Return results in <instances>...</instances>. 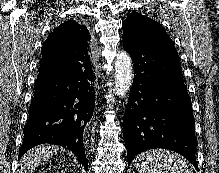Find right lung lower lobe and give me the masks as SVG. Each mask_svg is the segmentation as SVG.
Masks as SVG:
<instances>
[{
	"mask_svg": "<svg viewBox=\"0 0 219 173\" xmlns=\"http://www.w3.org/2000/svg\"><path fill=\"white\" fill-rule=\"evenodd\" d=\"M93 69L79 54L64 63L41 60L19 158L38 144H56L71 150L88 169L84 141L94 111Z\"/></svg>",
	"mask_w": 219,
	"mask_h": 173,
	"instance_id": "1",
	"label": "right lung lower lobe"
}]
</instances>
